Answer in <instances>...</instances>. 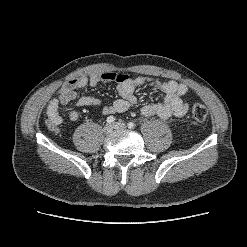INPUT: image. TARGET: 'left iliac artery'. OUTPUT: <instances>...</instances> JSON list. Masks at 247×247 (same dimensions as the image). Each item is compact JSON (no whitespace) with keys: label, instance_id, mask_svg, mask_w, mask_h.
<instances>
[{"label":"left iliac artery","instance_id":"obj_1","mask_svg":"<svg viewBox=\"0 0 247 247\" xmlns=\"http://www.w3.org/2000/svg\"><path fill=\"white\" fill-rule=\"evenodd\" d=\"M135 127V124L133 122L128 123V128L132 129Z\"/></svg>","mask_w":247,"mask_h":247}]
</instances>
